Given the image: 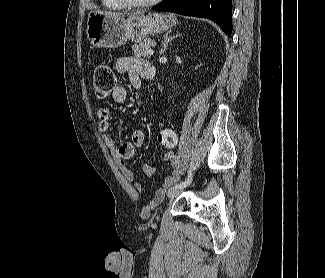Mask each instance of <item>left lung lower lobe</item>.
Returning a JSON list of instances; mask_svg holds the SVG:
<instances>
[{
    "label": "left lung lower lobe",
    "instance_id": "0a47b994",
    "mask_svg": "<svg viewBox=\"0 0 325 278\" xmlns=\"http://www.w3.org/2000/svg\"><path fill=\"white\" fill-rule=\"evenodd\" d=\"M153 9L207 18L217 23L227 35H231L232 0H164Z\"/></svg>",
    "mask_w": 325,
    "mask_h": 278
}]
</instances>
